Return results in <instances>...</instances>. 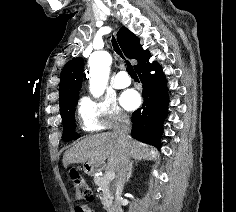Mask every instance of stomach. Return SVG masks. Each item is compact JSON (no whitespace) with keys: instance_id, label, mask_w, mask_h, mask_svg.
Instances as JSON below:
<instances>
[{"instance_id":"0dacf381","label":"stomach","mask_w":236,"mask_h":212,"mask_svg":"<svg viewBox=\"0 0 236 212\" xmlns=\"http://www.w3.org/2000/svg\"><path fill=\"white\" fill-rule=\"evenodd\" d=\"M83 170L86 174L93 176L96 173L97 168L94 165H91L89 163H85L83 165Z\"/></svg>"}]
</instances>
